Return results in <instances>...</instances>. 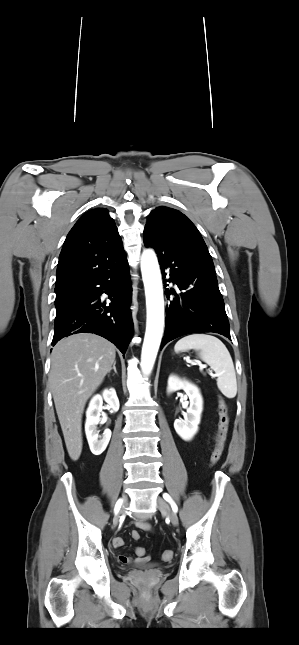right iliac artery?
<instances>
[{
  "label": "right iliac artery",
  "instance_id": "obj_1",
  "mask_svg": "<svg viewBox=\"0 0 299 645\" xmlns=\"http://www.w3.org/2000/svg\"><path fill=\"white\" fill-rule=\"evenodd\" d=\"M121 504H122V500H121V499H119V500L117 501L116 505H115V508H114V512H115V514H117V513H118V511H119V509H120V507H121Z\"/></svg>",
  "mask_w": 299,
  "mask_h": 645
}]
</instances>
